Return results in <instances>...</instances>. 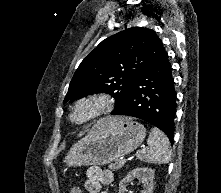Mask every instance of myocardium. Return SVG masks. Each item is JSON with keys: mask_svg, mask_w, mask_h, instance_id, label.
<instances>
[{"mask_svg": "<svg viewBox=\"0 0 221 193\" xmlns=\"http://www.w3.org/2000/svg\"><path fill=\"white\" fill-rule=\"evenodd\" d=\"M114 103V98L106 92L83 95L71 105L68 119L75 126L87 125L112 111Z\"/></svg>", "mask_w": 221, "mask_h": 193, "instance_id": "f54148a6", "label": "myocardium"}]
</instances>
